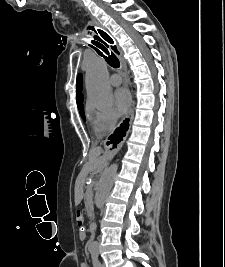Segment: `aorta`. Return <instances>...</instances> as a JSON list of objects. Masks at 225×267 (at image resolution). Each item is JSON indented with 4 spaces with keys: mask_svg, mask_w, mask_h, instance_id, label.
Wrapping results in <instances>:
<instances>
[{
    "mask_svg": "<svg viewBox=\"0 0 225 267\" xmlns=\"http://www.w3.org/2000/svg\"><path fill=\"white\" fill-rule=\"evenodd\" d=\"M85 80L88 103L99 109L109 107L113 101V94L108 84L107 65L103 59L95 58L87 64ZM117 170L118 165L112 164L100 177L95 193V205L98 209H103L106 203L113 188ZM90 249L97 250L98 242H92Z\"/></svg>",
    "mask_w": 225,
    "mask_h": 267,
    "instance_id": "aorta-1",
    "label": "aorta"
}]
</instances>
